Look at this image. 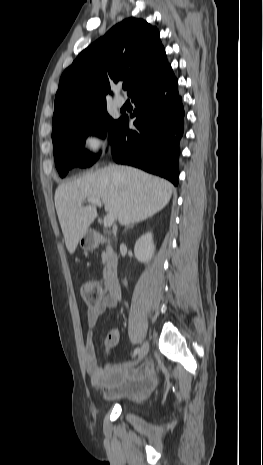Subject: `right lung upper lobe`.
<instances>
[{"label": "right lung upper lobe", "instance_id": "cb5924a9", "mask_svg": "<svg viewBox=\"0 0 263 465\" xmlns=\"http://www.w3.org/2000/svg\"><path fill=\"white\" fill-rule=\"evenodd\" d=\"M169 66L158 29L142 19H125L83 50L64 71L53 124L75 110L106 103L110 82L128 83L131 95Z\"/></svg>", "mask_w": 263, "mask_h": 465}]
</instances>
